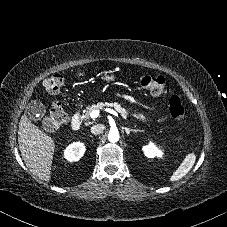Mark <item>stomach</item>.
Wrapping results in <instances>:
<instances>
[{"label": "stomach", "mask_w": 227, "mask_h": 227, "mask_svg": "<svg viewBox=\"0 0 227 227\" xmlns=\"http://www.w3.org/2000/svg\"><path fill=\"white\" fill-rule=\"evenodd\" d=\"M119 78H120V76L115 75L113 73H106L101 79L105 82H112Z\"/></svg>", "instance_id": "stomach-1"}]
</instances>
